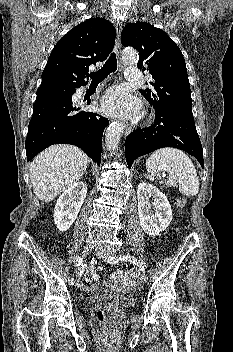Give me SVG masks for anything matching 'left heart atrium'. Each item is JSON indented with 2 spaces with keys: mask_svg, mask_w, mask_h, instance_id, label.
I'll return each mask as SVG.
<instances>
[{
  "mask_svg": "<svg viewBox=\"0 0 233 352\" xmlns=\"http://www.w3.org/2000/svg\"><path fill=\"white\" fill-rule=\"evenodd\" d=\"M138 107V100L121 87L109 90L102 100V109L113 116H131L137 112Z\"/></svg>",
  "mask_w": 233,
  "mask_h": 352,
  "instance_id": "obj_1",
  "label": "left heart atrium"
}]
</instances>
